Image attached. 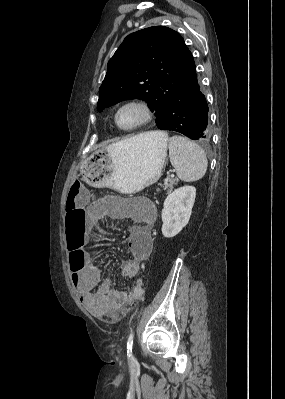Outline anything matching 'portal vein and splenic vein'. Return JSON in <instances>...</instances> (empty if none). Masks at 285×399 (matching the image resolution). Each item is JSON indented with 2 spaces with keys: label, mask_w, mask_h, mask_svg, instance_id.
<instances>
[{
  "label": "portal vein and splenic vein",
  "mask_w": 285,
  "mask_h": 399,
  "mask_svg": "<svg viewBox=\"0 0 285 399\" xmlns=\"http://www.w3.org/2000/svg\"><path fill=\"white\" fill-rule=\"evenodd\" d=\"M169 176H170V177H174V174H173V173H171Z\"/></svg>",
  "instance_id": "obj_1"
}]
</instances>
